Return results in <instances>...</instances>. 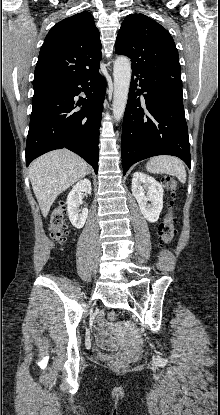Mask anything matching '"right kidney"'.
<instances>
[{
    "label": "right kidney",
    "mask_w": 220,
    "mask_h": 415,
    "mask_svg": "<svg viewBox=\"0 0 220 415\" xmlns=\"http://www.w3.org/2000/svg\"><path fill=\"white\" fill-rule=\"evenodd\" d=\"M83 193L91 194V183L88 179H83L73 186L72 190L67 196V213L72 225L81 229L88 217V209H79L82 204Z\"/></svg>",
    "instance_id": "1"
}]
</instances>
